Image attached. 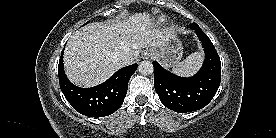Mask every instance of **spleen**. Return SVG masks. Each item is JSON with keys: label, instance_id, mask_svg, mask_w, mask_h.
<instances>
[{"label": "spleen", "instance_id": "3e777b00", "mask_svg": "<svg viewBox=\"0 0 276 138\" xmlns=\"http://www.w3.org/2000/svg\"><path fill=\"white\" fill-rule=\"evenodd\" d=\"M202 59V52H194L182 62L177 63L172 72L180 76H192L200 68Z\"/></svg>", "mask_w": 276, "mask_h": 138}]
</instances>
